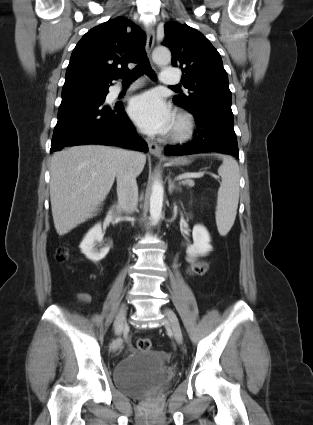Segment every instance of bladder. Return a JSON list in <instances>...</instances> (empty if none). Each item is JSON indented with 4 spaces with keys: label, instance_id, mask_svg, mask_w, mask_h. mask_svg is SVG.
<instances>
[{
    "label": "bladder",
    "instance_id": "bladder-1",
    "mask_svg": "<svg viewBox=\"0 0 313 425\" xmlns=\"http://www.w3.org/2000/svg\"><path fill=\"white\" fill-rule=\"evenodd\" d=\"M116 388L132 397H145L164 390L167 376V357L162 351L129 354L114 368Z\"/></svg>",
    "mask_w": 313,
    "mask_h": 425
}]
</instances>
